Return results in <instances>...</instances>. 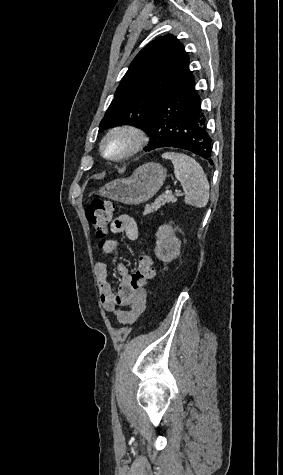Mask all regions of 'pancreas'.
<instances>
[{
    "mask_svg": "<svg viewBox=\"0 0 283 475\" xmlns=\"http://www.w3.org/2000/svg\"><path fill=\"white\" fill-rule=\"evenodd\" d=\"M174 204V202H177V198L175 196H172V194H166V196H159L151 206L147 204L145 208V212H143L144 216H147V214H152V212H157L161 206H165V204Z\"/></svg>",
    "mask_w": 283,
    "mask_h": 475,
    "instance_id": "pancreas-1",
    "label": "pancreas"
}]
</instances>
